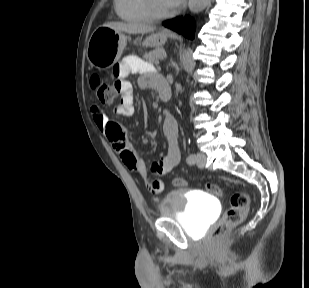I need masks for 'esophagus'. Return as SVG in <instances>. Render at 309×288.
<instances>
[{
	"mask_svg": "<svg viewBox=\"0 0 309 288\" xmlns=\"http://www.w3.org/2000/svg\"><path fill=\"white\" fill-rule=\"evenodd\" d=\"M164 33H165V34H169V31H165Z\"/></svg>",
	"mask_w": 309,
	"mask_h": 288,
	"instance_id": "esophagus-1",
	"label": "esophagus"
}]
</instances>
